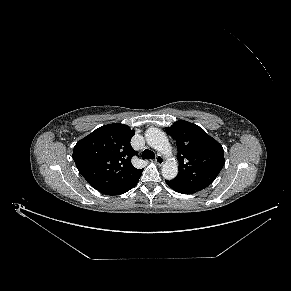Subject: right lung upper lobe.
<instances>
[{
	"label": "right lung upper lobe",
	"instance_id": "cb5924a9",
	"mask_svg": "<svg viewBox=\"0 0 291 291\" xmlns=\"http://www.w3.org/2000/svg\"><path fill=\"white\" fill-rule=\"evenodd\" d=\"M135 134L127 125H104L77 142L73 160L86 181L107 195H117L133 185L143 169L131 164L137 152L130 141Z\"/></svg>",
	"mask_w": 291,
	"mask_h": 291
}]
</instances>
